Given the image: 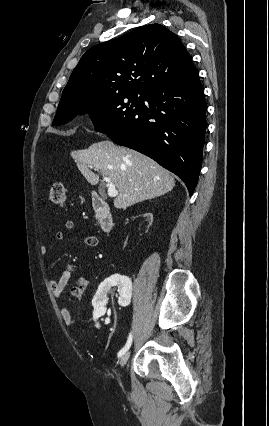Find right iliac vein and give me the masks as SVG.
I'll return each instance as SVG.
<instances>
[{"instance_id":"1","label":"right iliac vein","mask_w":269,"mask_h":426,"mask_svg":"<svg viewBox=\"0 0 269 426\" xmlns=\"http://www.w3.org/2000/svg\"><path fill=\"white\" fill-rule=\"evenodd\" d=\"M129 357H130V352L129 351L125 352L122 355V357L120 359V364H121L122 367H124L126 365V363L128 362Z\"/></svg>"}]
</instances>
